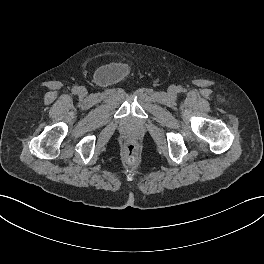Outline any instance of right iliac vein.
I'll list each match as a JSON object with an SVG mask.
<instances>
[{
    "label": "right iliac vein",
    "instance_id": "63e3f726",
    "mask_svg": "<svg viewBox=\"0 0 264 264\" xmlns=\"http://www.w3.org/2000/svg\"><path fill=\"white\" fill-rule=\"evenodd\" d=\"M79 92H80V94L85 95L86 89L85 88H79Z\"/></svg>",
    "mask_w": 264,
    "mask_h": 264
}]
</instances>
